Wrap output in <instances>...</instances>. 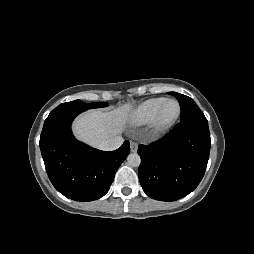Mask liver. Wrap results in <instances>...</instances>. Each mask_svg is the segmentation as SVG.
<instances>
[{
  "instance_id": "obj_1",
  "label": "liver",
  "mask_w": 254,
  "mask_h": 254,
  "mask_svg": "<svg viewBox=\"0 0 254 254\" xmlns=\"http://www.w3.org/2000/svg\"><path fill=\"white\" fill-rule=\"evenodd\" d=\"M132 109L133 104L126 103L112 111H87L75 120L73 132L79 140L98 147L124 131Z\"/></svg>"
}]
</instances>
